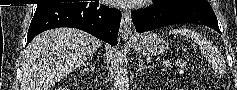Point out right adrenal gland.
<instances>
[{
    "instance_id": "obj_1",
    "label": "right adrenal gland",
    "mask_w": 237,
    "mask_h": 90,
    "mask_svg": "<svg viewBox=\"0 0 237 90\" xmlns=\"http://www.w3.org/2000/svg\"><path fill=\"white\" fill-rule=\"evenodd\" d=\"M91 64H92V58H90V60H88V62H86V64H83L84 72H88L89 68H90L91 72H94V68H92Z\"/></svg>"
}]
</instances>
